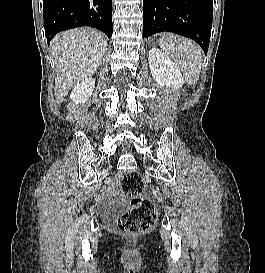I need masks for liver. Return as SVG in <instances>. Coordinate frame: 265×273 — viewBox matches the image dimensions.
I'll use <instances>...</instances> for the list:
<instances>
[{
  "mask_svg": "<svg viewBox=\"0 0 265 273\" xmlns=\"http://www.w3.org/2000/svg\"><path fill=\"white\" fill-rule=\"evenodd\" d=\"M50 47L56 67L55 97L61 103L71 88L96 72L107 40L100 31L81 27L57 34Z\"/></svg>",
  "mask_w": 265,
  "mask_h": 273,
  "instance_id": "obj_1",
  "label": "liver"
}]
</instances>
